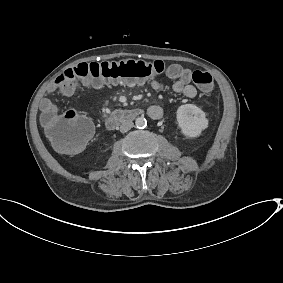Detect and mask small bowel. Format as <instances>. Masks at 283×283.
<instances>
[{
	"instance_id": "obj_1",
	"label": "small bowel",
	"mask_w": 283,
	"mask_h": 283,
	"mask_svg": "<svg viewBox=\"0 0 283 283\" xmlns=\"http://www.w3.org/2000/svg\"><path fill=\"white\" fill-rule=\"evenodd\" d=\"M165 73L168 78L174 81L172 90L175 93H182L188 98H194L197 95V89L191 83L192 72L189 69L184 68L180 64H171L167 67ZM148 85L156 91H162L164 89L163 83L156 79L149 80ZM79 86L80 84L63 82L60 78H57L48 86L46 96L41 101L40 106L43 113H58V108L48 96L60 94L62 96L69 97L74 94ZM147 113L155 120H160L164 117L163 109L157 105L149 106Z\"/></svg>"
}]
</instances>
